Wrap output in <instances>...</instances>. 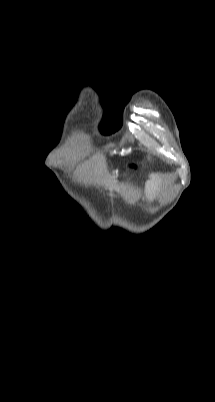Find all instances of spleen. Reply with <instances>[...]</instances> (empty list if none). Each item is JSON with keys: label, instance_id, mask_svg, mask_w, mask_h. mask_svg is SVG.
<instances>
[{"label": "spleen", "instance_id": "obj_1", "mask_svg": "<svg viewBox=\"0 0 215 402\" xmlns=\"http://www.w3.org/2000/svg\"><path fill=\"white\" fill-rule=\"evenodd\" d=\"M148 195H153V190H148Z\"/></svg>", "mask_w": 215, "mask_h": 402}]
</instances>
